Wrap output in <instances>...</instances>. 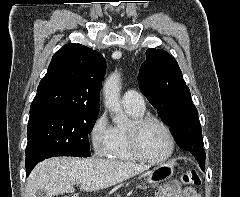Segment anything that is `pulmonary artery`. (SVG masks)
<instances>
[{
	"label": "pulmonary artery",
	"mask_w": 240,
	"mask_h": 197,
	"mask_svg": "<svg viewBox=\"0 0 240 197\" xmlns=\"http://www.w3.org/2000/svg\"><path fill=\"white\" fill-rule=\"evenodd\" d=\"M122 102L125 107H131L138 110L145 109L143 96L135 90L126 91L122 97Z\"/></svg>",
	"instance_id": "pulmonary-artery-1"
}]
</instances>
